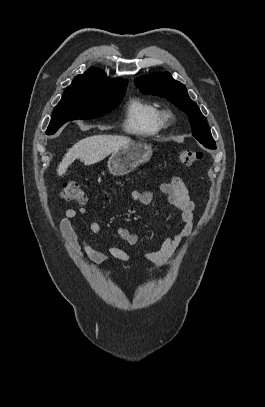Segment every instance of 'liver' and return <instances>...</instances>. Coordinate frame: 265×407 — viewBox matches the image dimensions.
<instances>
[{"mask_svg": "<svg viewBox=\"0 0 265 407\" xmlns=\"http://www.w3.org/2000/svg\"><path fill=\"white\" fill-rule=\"evenodd\" d=\"M130 142L132 140L129 137L118 135H95L82 139L67 151L58 165L57 174L58 176L65 174L76 159H80L85 165L100 162Z\"/></svg>", "mask_w": 265, "mask_h": 407, "instance_id": "1", "label": "liver"}]
</instances>
